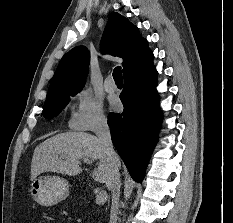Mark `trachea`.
Returning a JSON list of instances; mask_svg holds the SVG:
<instances>
[{
	"label": "trachea",
	"mask_w": 233,
	"mask_h": 223,
	"mask_svg": "<svg viewBox=\"0 0 233 223\" xmlns=\"http://www.w3.org/2000/svg\"><path fill=\"white\" fill-rule=\"evenodd\" d=\"M113 78L116 83H123L121 67L117 66L113 71Z\"/></svg>",
	"instance_id": "trachea-1"
}]
</instances>
